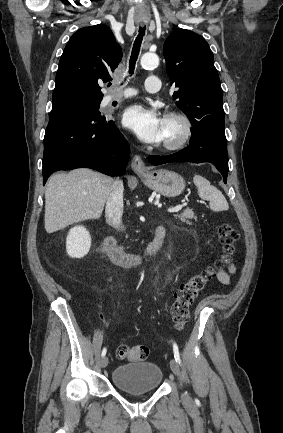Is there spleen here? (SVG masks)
I'll return each instance as SVG.
<instances>
[{"instance_id": "obj_1", "label": "spleen", "mask_w": 283, "mask_h": 433, "mask_svg": "<svg viewBox=\"0 0 283 433\" xmlns=\"http://www.w3.org/2000/svg\"><path fill=\"white\" fill-rule=\"evenodd\" d=\"M193 182L198 188L200 198L209 200L211 210H215V212H218V210H228L229 204L225 196H223L218 188L212 186L207 178L200 176V174H195V176H193Z\"/></svg>"}]
</instances>
